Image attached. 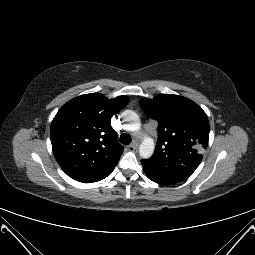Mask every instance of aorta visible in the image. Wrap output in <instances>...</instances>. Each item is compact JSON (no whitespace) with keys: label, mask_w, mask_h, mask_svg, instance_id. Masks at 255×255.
<instances>
[{"label":"aorta","mask_w":255,"mask_h":255,"mask_svg":"<svg viewBox=\"0 0 255 255\" xmlns=\"http://www.w3.org/2000/svg\"><path fill=\"white\" fill-rule=\"evenodd\" d=\"M122 119L127 123L128 129L131 131H138L140 129L139 116L131 110L122 113ZM155 150V143L151 137H144L139 147V154L142 158H150Z\"/></svg>","instance_id":"762f6f07"}]
</instances>
